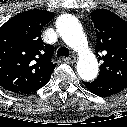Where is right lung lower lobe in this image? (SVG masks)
Segmentation results:
<instances>
[{"mask_svg": "<svg viewBox=\"0 0 127 127\" xmlns=\"http://www.w3.org/2000/svg\"><path fill=\"white\" fill-rule=\"evenodd\" d=\"M48 81L45 84H47ZM45 84H43L42 86L34 87V88H26V89H20V90H9V91H12V92H15V93H30V92H33V91L43 87Z\"/></svg>", "mask_w": 127, "mask_h": 127, "instance_id": "98d812e1", "label": "right lung lower lobe"}]
</instances>
